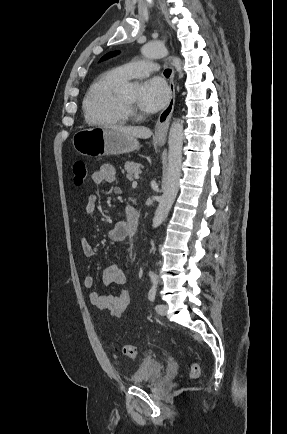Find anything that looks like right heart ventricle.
I'll use <instances>...</instances> for the list:
<instances>
[{
  "label": "right heart ventricle",
  "mask_w": 287,
  "mask_h": 434,
  "mask_svg": "<svg viewBox=\"0 0 287 434\" xmlns=\"http://www.w3.org/2000/svg\"><path fill=\"white\" fill-rule=\"evenodd\" d=\"M124 81L117 69H111L91 83L82 103L88 123L123 124L128 120V115L118 101V88Z\"/></svg>",
  "instance_id": "1"
}]
</instances>
